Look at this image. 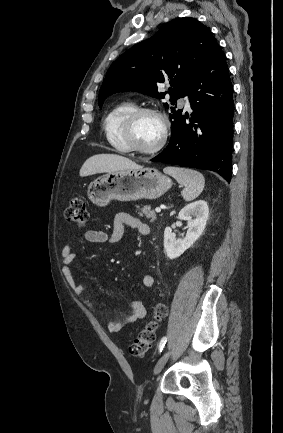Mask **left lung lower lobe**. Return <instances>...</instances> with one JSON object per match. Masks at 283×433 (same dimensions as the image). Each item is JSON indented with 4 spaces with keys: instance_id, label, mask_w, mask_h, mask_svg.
<instances>
[{
    "instance_id": "obj_1",
    "label": "left lung lower lobe",
    "mask_w": 283,
    "mask_h": 433,
    "mask_svg": "<svg viewBox=\"0 0 283 433\" xmlns=\"http://www.w3.org/2000/svg\"><path fill=\"white\" fill-rule=\"evenodd\" d=\"M185 95L192 112L182 113L172 122L168 146L151 161L212 170L230 182L233 87L224 52L217 43L198 67Z\"/></svg>"
}]
</instances>
